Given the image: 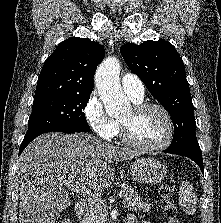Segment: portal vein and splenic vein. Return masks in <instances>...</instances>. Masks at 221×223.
I'll list each match as a JSON object with an SVG mask.
<instances>
[{
    "instance_id": "18ae733b",
    "label": "portal vein and splenic vein",
    "mask_w": 221,
    "mask_h": 223,
    "mask_svg": "<svg viewBox=\"0 0 221 223\" xmlns=\"http://www.w3.org/2000/svg\"><path fill=\"white\" fill-rule=\"evenodd\" d=\"M67 187L72 191L76 192L77 194H80L81 196L87 198L90 202L95 203L97 205L103 204L104 201L101 200L100 197H98L95 193H93L90 189L86 188L85 186L76 185L71 186L67 184ZM124 194L123 191L119 192V196L121 197Z\"/></svg>"
}]
</instances>
